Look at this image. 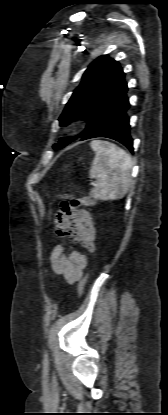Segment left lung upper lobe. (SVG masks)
<instances>
[{"label":"left lung upper lobe","mask_w":168,"mask_h":415,"mask_svg":"<svg viewBox=\"0 0 168 415\" xmlns=\"http://www.w3.org/2000/svg\"><path fill=\"white\" fill-rule=\"evenodd\" d=\"M124 76L125 73L119 63L107 55L100 56L93 61L83 74L82 82L74 90L60 116V126L82 119L88 122L86 131L104 107L127 88ZM76 138H61L53 147L60 149Z\"/></svg>","instance_id":"left-lung-upper-lobe-1"}]
</instances>
